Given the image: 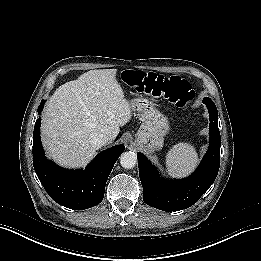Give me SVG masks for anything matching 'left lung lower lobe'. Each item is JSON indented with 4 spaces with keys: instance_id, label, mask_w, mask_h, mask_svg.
Instances as JSON below:
<instances>
[{
    "instance_id": "left-lung-lower-lobe-1",
    "label": "left lung lower lobe",
    "mask_w": 261,
    "mask_h": 261,
    "mask_svg": "<svg viewBox=\"0 0 261 261\" xmlns=\"http://www.w3.org/2000/svg\"><path fill=\"white\" fill-rule=\"evenodd\" d=\"M203 103L206 104L210 116V143L194 174L183 180H163L147 158L142 153L137 154L143 200L149 206L163 211L186 209L195 204L213 184L220 166L218 112L210 98H204Z\"/></svg>"
}]
</instances>
